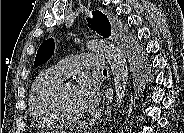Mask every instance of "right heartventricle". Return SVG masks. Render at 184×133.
Listing matches in <instances>:
<instances>
[{
    "label": "right heart ventricle",
    "mask_w": 184,
    "mask_h": 133,
    "mask_svg": "<svg viewBox=\"0 0 184 133\" xmlns=\"http://www.w3.org/2000/svg\"><path fill=\"white\" fill-rule=\"evenodd\" d=\"M64 77L55 67L42 71L34 81L30 93V109L35 119L46 126H56L62 121L54 107V95Z\"/></svg>",
    "instance_id": "1"
}]
</instances>
